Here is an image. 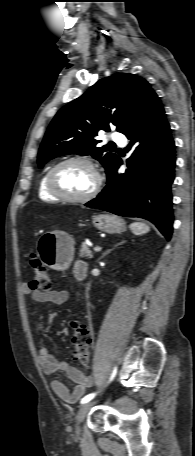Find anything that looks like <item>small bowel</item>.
Segmentation results:
<instances>
[{
	"mask_svg": "<svg viewBox=\"0 0 195 456\" xmlns=\"http://www.w3.org/2000/svg\"><path fill=\"white\" fill-rule=\"evenodd\" d=\"M80 263L81 262L76 264V271ZM22 290L25 295L31 296L36 302H52L60 305L65 303L68 299V293L65 290L42 292L32 289L29 285H24ZM39 357L44 373L52 378L50 382L52 391L63 401L75 403L92 385V377L85 375L82 371L69 365L67 362L58 360L50 354L47 347L42 346L39 349ZM58 371L64 372L67 377L75 383V387L72 391H70L59 379L54 378L55 373Z\"/></svg>",
	"mask_w": 195,
	"mask_h": 456,
	"instance_id": "c3829d8e",
	"label": "small bowel"
}]
</instances>
